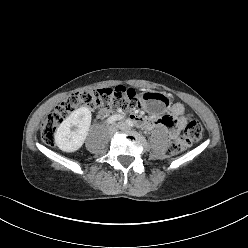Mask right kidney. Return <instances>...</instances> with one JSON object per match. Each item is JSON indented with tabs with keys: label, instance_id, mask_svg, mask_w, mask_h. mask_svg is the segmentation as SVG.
Listing matches in <instances>:
<instances>
[{
	"label": "right kidney",
	"instance_id": "1",
	"mask_svg": "<svg viewBox=\"0 0 248 248\" xmlns=\"http://www.w3.org/2000/svg\"><path fill=\"white\" fill-rule=\"evenodd\" d=\"M91 124V111L80 107L73 111L58 127L54 139L64 152H75L84 144Z\"/></svg>",
	"mask_w": 248,
	"mask_h": 248
}]
</instances>
